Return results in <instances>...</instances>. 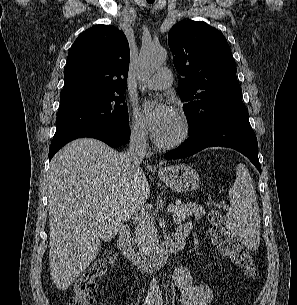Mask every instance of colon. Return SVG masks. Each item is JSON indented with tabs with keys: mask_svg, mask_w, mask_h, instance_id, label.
Listing matches in <instances>:
<instances>
[{
	"mask_svg": "<svg viewBox=\"0 0 297 305\" xmlns=\"http://www.w3.org/2000/svg\"><path fill=\"white\" fill-rule=\"evenodd\" d=\"M208 232L213 244L245 275L254 277L256 265L253 255L234 237L225 225L219 211H212L208 220ZM114 255L107 252L97 260L73 285L69 305H92L96 297V281L103 278L114 262Z\"/></svg>",
	"mask_w": 297,
	"mask_h": 305,
	"instance_id": "obj_1",
	"label": "colon"
}]
</instances>
